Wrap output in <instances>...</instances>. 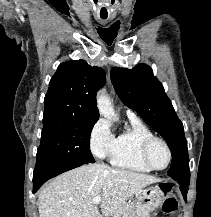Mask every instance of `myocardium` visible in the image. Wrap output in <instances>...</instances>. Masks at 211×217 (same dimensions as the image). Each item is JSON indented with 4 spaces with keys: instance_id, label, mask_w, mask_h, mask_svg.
<instances>
[{
    "instance_id": "myocardium-1",
    "label": "myocardium",
    "mask_w": 211,
    "mask_h": 217,
    "mask_svg": "<svg viewBox=\"0 0 211 217\" xmlns=\"http://www.w3.org/2000/svg\"><path fill=\"white\" fill-rule=\"evenodd\" d=\"M156 142L162 143L168 152V162L162 168H158V167L154 166L152 164V162L150 160V156H149L150 149L153 146V144ZM140 153H141V158H142L143 163L148 168H150L151 170H155V171L165 170L171 164V161L173 158L172 150H171V147L169 146L168 142L165 139L158 137V136H152V137L145 139L141 145Z\"/></svg>"
}]
</instances>
